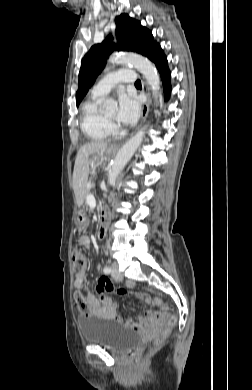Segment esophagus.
<instances>
[{"label": "esophagus", "instance_id": "34e87169", "mask_svg": "<svg viewBox=\"0 0 252 390\" xmlns=\"http://www.w3.org/2000/svg\"><path fill=\"white\" fill-rule=\"evenodd\" d=\"M140 79H141V82H142V91H143V93L146 96V101H145V103L143 104V107H142L141 121H140L139 126H141V124L146 119L148 111H149V106H150V103H151V96H150L148 84H147L145 78L142 75H140Z\"/></svg>", "mask_w": 252, "mask_h": 390}]
</instances>
